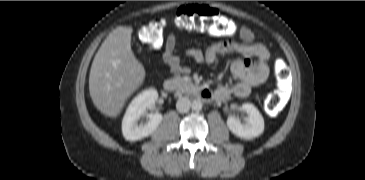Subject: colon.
<instances>
[{"instance_id":"colon-1","label":"colon","mask_w":365,"mask_h":180,"mask_svg":"<svg viewBox=\"0 0 365 180\" xmlns=\"http://www.w3.org/2000/svg\"><path fill=\"white\" fill-rule=\"evenodd\" d=\"M169 26L179 31L202 29L213 37L228 39L233 29L231 22L224 19L220 13L206 5H186L177 10L174 16H159L150 19L140 30V40L149 47L159 48L164 42V33ZM276 86L267 98L268 110L278 114L284 108L282 84L288 76L287 68L282 60L275 63Z\"/></svg>"}]
</instances>
